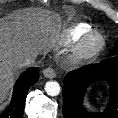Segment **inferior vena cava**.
<instances>
[{
    "instance_id": "1",
    "label": "inferior vena cava",
    "mask_w": 118,
    "mask_h": 118,
    "mask_svg": "<svg viewBox=\"0 0 118 118\" xmlns=\"http://www.w3.org/2000/svg\"><path fill=\"white\" fill-rule=\"evenodd\" d=\"M37 55L30 54L26 56L20 63L19 66L26 67V66H33L36 64Z\"/></svg>"
}]
</instances>
